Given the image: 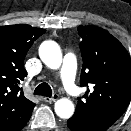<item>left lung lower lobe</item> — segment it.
Listing matches in <instances>:
<instances>
[{
    "label": "left lung lower lobe",
    "instance_id": "1",
    "mask_svg": "<svg viewBox=\"0 0 131 131\" xmlns=\"http://www.w3.org/2000/svg\"><path fill=\"white\" fill-rule=\"evenodd\" d=\"M67 125L71 131H98L94 129L87 121L75 115L68 119Z\"/></svg>",
    "mask_w": 131,
    "mask_h": 131
}]
</instances>
